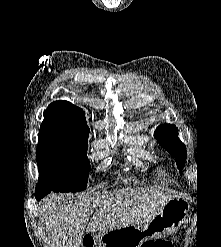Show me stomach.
<instances>
[{
	"label": "stomach",
	"mask_w": 221,
	"mask_h": 247,
	"mask_svg": "<svg viewBox=\"0 0 221 247\" xmlns=\"http://www.w3.org/2000/svg\"><path fill=\"white\" fill-rule=\"evenodd\" d=\"M190 212L189 202L180 197L169 200L153 219L140 225H129L108 232H99V247H142L156 239L177 230Z\"/></svg>",
	"instance_id": "1"
}]
</instances>
